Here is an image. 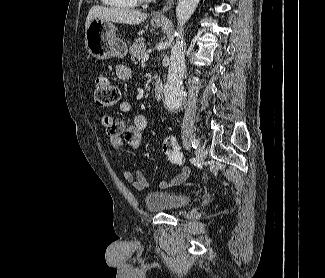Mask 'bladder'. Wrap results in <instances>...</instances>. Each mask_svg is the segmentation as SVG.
Returning a JSON list of instances; mask_svg holds the SVG:
<instances>
[{"instance_id":"1","label":"bladder","mask_w":325,"mask_h":278,"mask_svg":"<svg viewBox=\"0 0 325 278\" xmlns=\"http://www.w3.org/2000/svg\"><path fill=\"white\" fill-rule=\"evenodd\" d=\"M191 200L190 195L180 191H153L144 196L150 212H174L184 208Z\"/></svg>"}]
</instances>
